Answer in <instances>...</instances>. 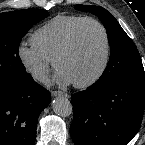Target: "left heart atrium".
I'll list each match as a JSON object with an SVG mask.
<instances>
[{
  "mask_svg": "<svg viewBox=\"0 0 145 145\" xmlns=\"http://www.w3.org/2000/svg\"><path fill=\"white\" fill-rule=\"evenodd\" d=\"M54 82L60 86H67L72 83L68 76L60 70L55 74Z\"/></svg>",
  "mask_w": 145,
  "mask_h": 145,
  "instance_id": "1",
  "label": "left heart atrium"
}]
</instances>
